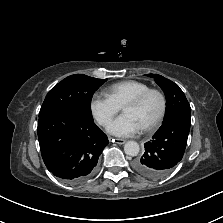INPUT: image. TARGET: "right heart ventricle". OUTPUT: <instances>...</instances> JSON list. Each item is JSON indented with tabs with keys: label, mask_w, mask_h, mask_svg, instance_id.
Segmentation results:
<instances>
[{
	"label": "right heart ventricle",
	"mask_w": 223,
	"mask_h": 223,
	"mask_svg": "<svg viewBox=\"0 0 223 223\" xmlns=\"http://www.w3.org/2000/svg\"><path fill=\"white\" fill-rule=\"evenodd\" d=\"M149 88L150 86L144 82L125 80L109 86L107 88V95L120 108H123L127 102Z\"/></svg>",
	"instance_id": "right-heart-ventricle-1"
}]
</instances>
